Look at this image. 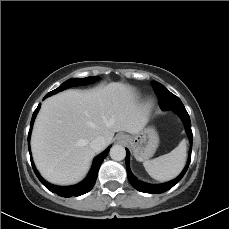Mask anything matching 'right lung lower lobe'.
Wrapping results in <instances>:
<instances>
[{"mask_svg":"<svg viewBox=\"0 0 229 229\" xmlns=\"http://www.w3.org/2000/svg\"><path fill=\"white\" fill-rule=\"evenodd\" d=\"M46 97H48V96L46 95L44 98H46ZM40 105L41 104L38 105L37 109L34 111L33 116H32V120H31V124H30V131H29V135H28V142H29V138H30L31 128H32L35 116H36V114L40 108ZM28 147H29V153H31L29 144H28ZM109 150L110 149L107 148L103 153H101L100 155H98L95 158L93 166H92L89 174L81 183L74 185V186H69V187H60V186H55V185L49 184L39 175L38 171L36 170V168L34 166L32 158H31V164H32L33 170H34L36 176L38 177V179L40 180V182L51 192L56 193L62 197L80 196V195H83V194L89 192L93 188V186L96 182V179H97L100 165L102 164L104 158L108 155Z\"/></svg>","mask_w":229,"mask_h":229,"instance_id":"98d812e1","label":"right lung lower lobe"}]
</instances>
